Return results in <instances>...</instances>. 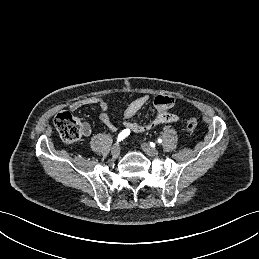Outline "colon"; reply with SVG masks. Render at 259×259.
<instances>
[{"instance_id":"1","label":"colon","mask_w":259,"mask_h":259,"mask_svg":"<svg viewBox=\"0 0 259 259\" xmlns=\"http://www.w3.org/2000/svg\"><path fill=\"white\" fill-rule=\"evenodd\" d=\"M54 125L60 138L66 143L76 142L82 136L80 121L69 112L58 113L54 119ZM185 125L187 132L193 133L198 126V122L195 118L190 117L186 120Z\"/></svg>"}]
</instances>
